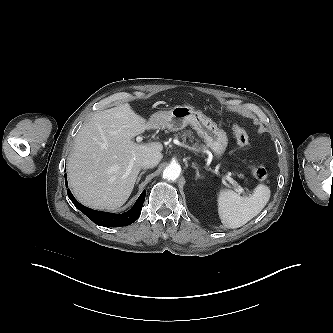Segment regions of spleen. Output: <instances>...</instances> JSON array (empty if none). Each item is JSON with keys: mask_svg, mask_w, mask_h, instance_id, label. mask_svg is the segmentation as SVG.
Here are the masks:
<instances>
[{"mask_svg": "<svg viewBox=\"0 0 333 333\" xmlns=\"http://www.w3.org/2000/svg\"><path fill=\"white\" fill-rule=\"evenodd\" d=\"M270 189L259 184L249 197H242L233 190L223 189L218 195V214L226 228L235 229L257 216L270 199Z\"/></svg>", "mask_w": 333, "mask_h": 333, "instance_id": "1", "label": "spleen"}]
</instances>
